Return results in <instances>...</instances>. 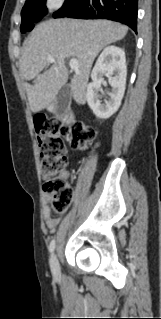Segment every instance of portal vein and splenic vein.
I'll return each instance as SVG.
<instances>
[{"label": "portal vein and splenic vein", "instance_id": "1", "mask_svg": "<svg viewBox=\"0 0 161 319\" xmlns=\"http://www.w3.org/2000/svg\"><path fill=\"white\" fill-rule=\"evenodd\" d=\"M47 60H48L49 63H54L55 62L54 57L51 56V55H49L47 57ZM69 65H70L71 69L76 70L78 68V60L77 59H71Z\"/></svg>", "mask_w": 161, "mask_h": 319}]
</instances>
